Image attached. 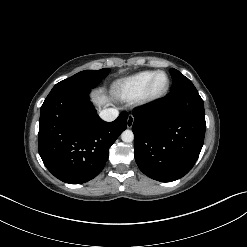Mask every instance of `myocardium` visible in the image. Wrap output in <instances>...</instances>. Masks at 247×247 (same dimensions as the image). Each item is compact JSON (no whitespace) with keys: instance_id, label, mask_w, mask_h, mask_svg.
Instances as JSON below:
<instances>
[{"instance_id":"1","label":"myocardium","mask_w":247,"mask_h":247,"mask_svg":"<svg viewBox=\"0 0 247 247\" xmlns=\"http://www.w3.org/2000/svg\"><path fill=\"white\" fill-rule=\"evenodd\" d=\"M159 76H164L166 79V83L161 90H156L155 85L157 78ZM169 88H170V78L168 74L164 71H157L150 80L149 84L147 85L143 95L140 97L141 101L144 103H149L159 100L167 94Z\"/></svg>"}]
</instances>
